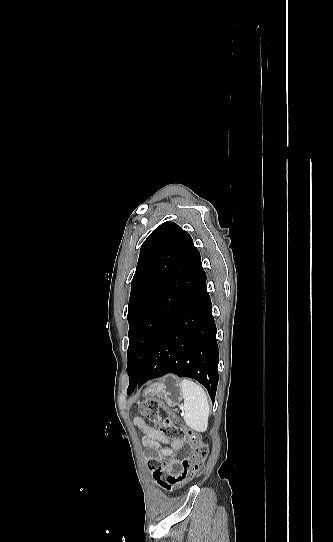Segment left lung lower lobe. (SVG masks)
I'll use <instances>...</instances> for the list:
<instances>
[{
	"label": "left lung lower lobe",
	"mask_w": 333,
	"mask_h": 542,
	"mask_svg": "<svg viewBox=\"0 0 333 542\" xmlns=\"http://www.w3.org/2000/svg\"><path fill=\"white\" fill-rule=\"evenodd\" d=\"M216 330L203 271L159 330L141 371L129 379L127 394L150 379L173 373L196 379L214 402L219 360Z\"/></svg>",
	"instance_id": "obj_1"
}]
</instances>
